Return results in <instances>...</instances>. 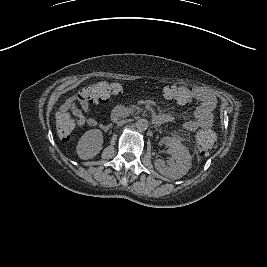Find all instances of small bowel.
I'll list each match as a JSON object with an SVG mask.
<instances>
[{
    "label": "small bowel",
    "mask_w": 267,
    "mask_h": 267,
    "mask_svg": "<svg viewBox=\"0 0 267 267\" xmlns=\"http://www.w3.org/2000/svg\"><path fill=\"white\" fill-rule=\"evenodd\" d=\"M189 94V98L182 104L190 103L194 100L199 102V105L194 111L193 119L184 122V128L187 131L194 132L199 128H211L214 124V108L216 105V98L214 94L208 89L200 86L194 87H180ZM80 107L77 105V99L75 96L68 97L61 106L63 112H70L77 119L80 125L95 127L98 122L94 118H87L84 113H89L90 104H83L79 102ZM169 121L171 117L164 114ZM165 121V122H166ZM102 128H107V125H101Z\"/></svg>",
    "instance_id": "obj_1"
}]
</instances>
